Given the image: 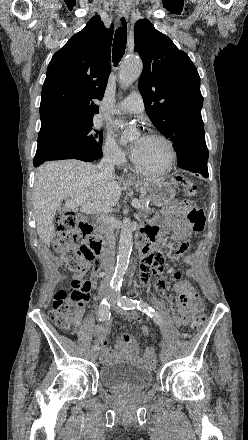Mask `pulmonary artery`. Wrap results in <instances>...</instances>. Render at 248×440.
<instances>
[{"instance_id": "pulmonary-artery-1", "label": "pulmonary artery", "mask_w": 248, "mask_h": 440, "mask_svg": "<svg viewBox=\"0 0 248 440\" xmlns=\"http://www.w3.org/2000/svg\"><path fill=\"white\" fill-rule=\"evenodd\" d=\"M120 113L139 114L144 111V102L139 92H132L122 100L115 110Z\"/></svg>"}]
</instances>
